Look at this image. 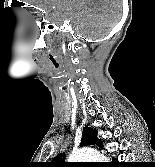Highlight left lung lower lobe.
Returning a JSON list of instances; mask_svg holds the SVG:
<instances>
[{
  "label": "left lung lower lobe",
  "instance_id": "obj_1",
  "mask_svg": "<svg viewBox=\"0 0 155 167\" xmlns=\"http://www.w3.org/2000/svg\"><path fill=\"white\" fill-rule=\"evenodd\" d=\"M112 167H120V164L113 159Z\"/></svg>",
  "mask_w": 155,
  "mask_h": 167
}]
</instances>
